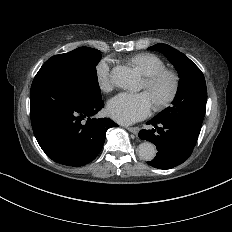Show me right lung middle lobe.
Masks as SVG:
<instances>
[{
	"mask_svg": "<svg viewBox=\"0 0 232 232\" xmlns=\"http://www.w3.org/2000/svg\"><path fill=\"white\" fill-rule=\"evenodd\" d=\"M100 59V51L89 47H79L68 53L52 56L45 64H60L74 70L86 93L93 99H101L95 68Z\"/></svg>",
	"mask_w": 232,
	"mask_h": 232,
	"instance_id": "dd1d6c3e",
	"label": "right lung middle lobe"
}]
</instances>
